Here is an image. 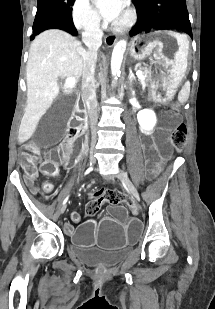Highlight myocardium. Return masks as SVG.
<instances>
[{"label": "myocardium", "mask_w": 215, "mask_h": 309, "mask_svg": "<svg viewBox=\"0 0 215 309\" xmlns=\"http://www.w3.org/2000/svg\"><path fill=\"white\" fill-rule=\"evenodd\" d=\"M125 19H112L109 21V24L111 25V28L113 30H116L118 34H127L129 32V29L134 24V21L131 19L134 16L132 9L126 10Z\"/></svg>", "instance_id": "1"}]
</instances>
